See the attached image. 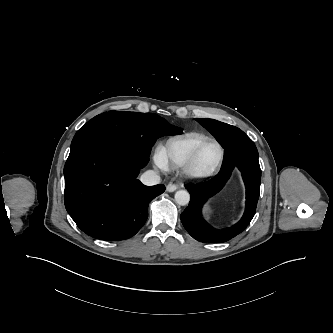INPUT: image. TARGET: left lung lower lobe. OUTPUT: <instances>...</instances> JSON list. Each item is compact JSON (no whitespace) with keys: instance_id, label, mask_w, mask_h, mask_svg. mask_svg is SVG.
Masks as SVG:
<instances>
[{"instance_id":"obj_1","label":"left lung lower lobe","mask_w":333,"mask_h":333,"mask_svg":"<svg viewBox=\"0 0 333 333\" xmlns=\"http://www.w3.org/2000/svg\"><path fill=\"white\" fill-rule=\"evenodd\" d=\"M224 154V163L216 176L202 183L186 185L191 199L181 213V221L187 232L200 242L223 243L234 238L245 230L256 212L261 169L254 142L245 133L237 135L228 141ZM235 167L242 172L245 183L246 209L241 220L232 227L215 229L203 219L201 209L208 198L225 187Z\"/></svg>"}]
</instances>
